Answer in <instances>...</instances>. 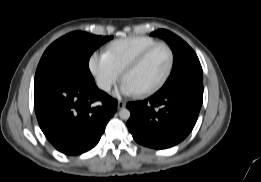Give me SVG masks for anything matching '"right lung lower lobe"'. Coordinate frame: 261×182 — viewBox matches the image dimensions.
Returning a JSON list of instances; mask_svg holds the SVG:
<instances>
[{"label":"right lung lower lobe","mask_w":261,"mask_h":182,"mask_svg":"<svg viewBox=\"0 0 261 182\" xmlns=\"http://www.w3.org/2000/svg\"><path fill=\"white\" fill-rule=\"evenodd\" d=\"M100 101L101 105L92 107ZM34 107L41 130L66 155L82 154L100 140L117 101L97 86L83 87L65 74L34 82Z\"/></svg>","instance_id":"right-lung-lower-lobe-1"}]
</instances>
